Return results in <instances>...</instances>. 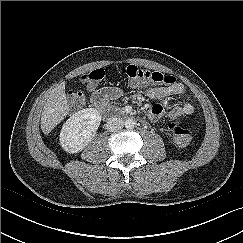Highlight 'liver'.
Masks as SVG:
<instances>
[{
    "label": "liver",
    "instance_id": "1",
    "mask_svg": "<svg viewBox=\"0 0 243 243\" xmlns=\"http://www.w3.org/2000/svg\"><path fill=\"white\" fill-rule=\"evenodd\" d=\"M64 84L57 85L50 91L41 114V130L48 135L68 114Z\"/></svg>",
    "mask_w": 243,
    "mask_h": 243
}]
</instances>
